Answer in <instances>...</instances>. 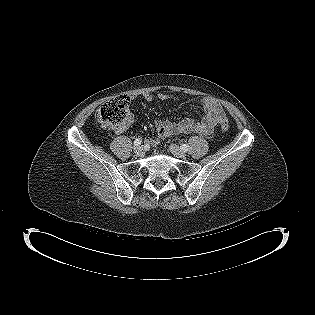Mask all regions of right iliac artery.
<instances>
[{
    "instance_id": "right-iliac-artery-1",
    "label": "right iliac artery",
    "mask_w": 315,
    "mask_h": 315,
    "mask_svg": "<svg viewBox=\"0 0 315 315\" xmlns=\"http://www.w3.org/2000/svg\"><path fill=\"white\" fill-rule=\"evenodd\" d=\"M142 140L140 138L136 139L134 141V146H139L141 144Z\"/></svg>"
}]
</instances>
